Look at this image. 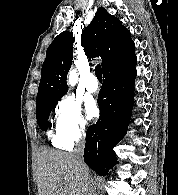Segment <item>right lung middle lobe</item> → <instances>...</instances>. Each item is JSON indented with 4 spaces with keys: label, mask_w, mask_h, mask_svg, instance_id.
<instances>
[{
    "label": "right lung middle lobe",
    "mask_w": 178,
    "mask_h": 195,
    "mask_svg": "<svg viewBox=\"0 0 178 195\" xmlns=\"http://www.w3.org/2000/svg\"><path fill=\"white\" fill-rule=\"evenodd\" d=\"M58 101L59 100H50L36 106L37 123L42 131H46L48 129V117Z\"/></svg>",
    "instance_id": "right-lung-middle-lobe-1"
}]
</instances>
